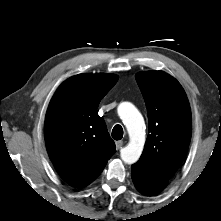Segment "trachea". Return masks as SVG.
Masks as SVG:
<instances>
[{
    "label": "trachea",
    "instance_id": "obj_1",
    "mask_svg": "<svg viewBox=\"0 0 221 221\" xmlns=\"http://www.w3.org/2000/svg\"><path fill=\"white\" fill-rule=\"evenodd\" d=\"M123 137V128L120 125H115L112 130V138L120 140Z\"/></svg>",
    "mask_w": 221,
    "mask_h": 221
}]
</instances>
